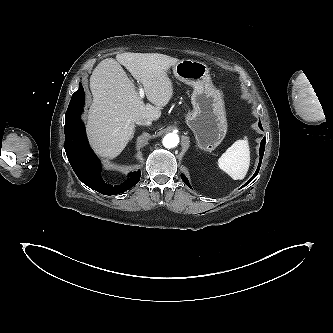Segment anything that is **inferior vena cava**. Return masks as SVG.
<instances>
[{
  "mask_svg": "<svg viewBox=\"0 0 333 333\" xmlns=\"http://www.w3.org/2000/svg\"><path fill=\"white\" fill-rule=\"evenodd\" d=\"M135 123L137 125H151L152 121L149 118L140 117L135 121Z\"/></svg>",
  "mask_w": 333,
  "mask_h": 333,
  "instance_id": "1",
  "label": "inferior vena cava"
}]
</instances>
